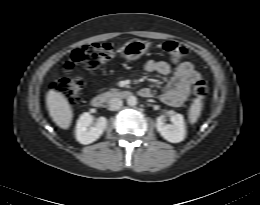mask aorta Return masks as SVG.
<instances>
[{"label":"aorta","mask_w":260,"mask_h":205,"mask_svg":"<svg viewBox=\"0 0 260 205\" xmlns=\"http://www.w3.org/2000/svg\"><path fill=\"white\" fill-rule=\"evenodd\" d=\"M127 104L129 106H135L137 104V98L135 96H133V95L129 96L127 98Z\"/></svg>","instance_id":"aorta-1"}]
</instances>
